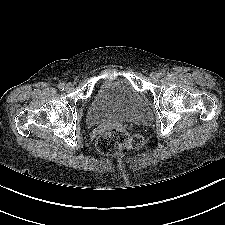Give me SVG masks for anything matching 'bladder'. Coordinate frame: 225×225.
I'll return each mask as SVG.
<instances>
[{
  "instance_id": "obj_1",
  "label": "bladder",
  "mask_w": 225,
  "mask_h": 225,
  "mask_svg": "<svg viewBox=\"0 0 225 225\" xmlns=\"http://www.w3.org/2000/svg\"><path fill=\"white\" fill-rule=\"evenodd\" d=\"M87 123L97 126L111 121L144 125L152 120L145 99L123 77L105 80L96 90L89 104Z\"/></svg>"
}]
</instances>
